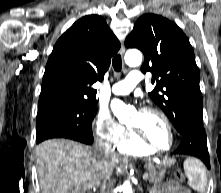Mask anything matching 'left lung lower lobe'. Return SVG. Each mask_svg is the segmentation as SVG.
<instances>
[{"label": "left lung lower lobe", "instance_id": "left-lung-lower-lobe-1", "mask_svg": "<svg viewBox=\"0 0 221 193\" xmlns=\"http://www.w3.org/2000/svg\"><path fill=\"white\" fill-rule=\"evenodd\" d=\"M196 116L203 120L202 113H196ZM176 153L197 157L210 169L207 136L202 121L196 122L182 134V141Z\"/></svg>", "mask_w": 221, "mask_h": 193}]
</instances>
